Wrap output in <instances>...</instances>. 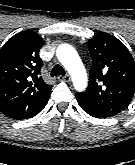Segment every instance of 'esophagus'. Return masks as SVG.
<instances>
[{
    "label": "esophagus",
    "instance_id": "1",
    "mask_svg": "<svg viewBox=\"0 0 135 165\" xmlns=\"http://www.w3.org/2000/svg\"><path fill=\"white\" fill-rule=\"evenodd\" d=\"M58 79L69 82L71 80V77H70V75L67 74L65 76H58Z\"/></svg>",
    "mask_w": 135,
    "mask_h": 165
}]
</instances>
